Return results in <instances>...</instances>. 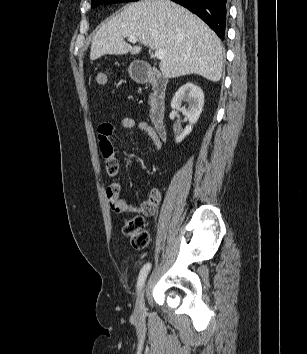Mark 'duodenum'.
Listing matches in <instances>:
<instances>
[{
  "instance_id": "duodenum-1",
  "label": "duodenum",
  "mask_w": 307,
  "mask_h": 354,
  "mask_svg": "<svg viewBox=\"0 0 307 354\" xmlns=\"http://www.w3.org/2000/svg\"><path fill=\"white\" fill-rule=\"evenodd\" d=\"M134 79L138 83H148L152 86L149 116L156 132L162 139H165L167 133L165 121L167 79L151 66H142L135 70Z\"/></svg>"
}]
</instances>
